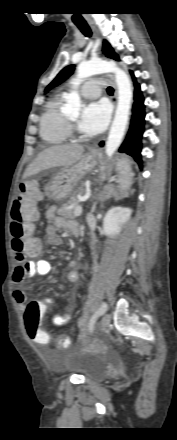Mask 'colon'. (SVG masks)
Here are the masks:
<instances>
[{"mask_svg":"<svg viewBox=\"0 0 177 440\" xmlns=\"http://www.w3.org/2000/svg\"><path fill=\"white\" fill-rule=\"evenodd\" d=\"M40 198L41 194L36 182L28 181L21 184L19 193L12 204V248L16 258L21 261H25L27 256L35 255L38 250V243L33 238V234L39 217L36 202ZM53 303V298H31V303L27 305L23 313L29 342H37L38 348H47L48 344L61 347L71 344L68 334H56L55 336L49 334L48 330L40 329L43 314Z\"/></svg>","mask_w":177,"mask_h":440,"instance_id":"colon-1","label":"colon"}]
</instances>
